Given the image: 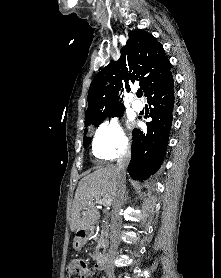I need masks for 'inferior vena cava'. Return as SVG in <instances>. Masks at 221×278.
Masks as SVG:
<instances>
[{
  "label": "inferior vena cava",
  "instance_id": "inferior-vena-cava-1",
  "mask_svg": "<svg viewBox=\"0 0 221 278\" xmlns=\"http://www.w3.org/2000/svg\"><path fill=\"white\" fill-rule=\"evenodd\" d=\"M131 158V152L129 150L124 151L117 161V170L119 172V183L115 192V199L112 204V214L110 223V248L108 252L109 260L105 264L106 271H112V258L114 257L118 246V235L121 229V208L124 200L125 193V174L126 168Z\"/></svg>",
  "mask_w": 221,
  "mask_h": 278
}]
</instances>
